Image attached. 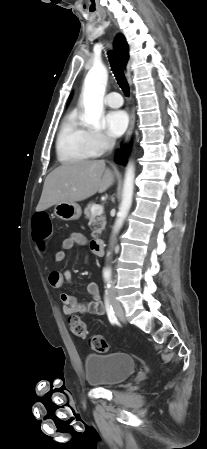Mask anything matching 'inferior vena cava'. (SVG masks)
Returning <instances> with one entry per match:
<instances>
[{
    "label": "inferior vena cava",
    "instance_id": "inferior-vena-cava-1",
    "mask_svg": "<svg viewBox=\"0 0 207 449\" xmlns=\"http://www.w3.org/2000/svg\"><path fill=\"white\" fill-rule=\"evenodd\" d=\"M114 145H115V140L113 138H109L108 139V148L110 151L113 149ZM114 292H115L114 282L111 281V288L109 289V294H112Z\"/></svg>",
    "mask_w": 207,
    "mask_h": 449
}]
</instances>
